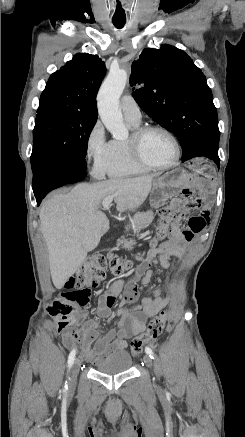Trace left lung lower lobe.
Returning a JSON list of instances; mask_svg holds the SVG:
<instances>
[{
  "mask_svg": "<svg viewBox=\"0 0 245 437\" xmlns=\"http://www.w3.org/2000/svg\"><path fill=\"white\" fill-rule=\"evenodd\" d=\"M210 157H211L210 159L213 160L219 166L220 159L218 157V154H211Z\"/></svg>",
  "mask_w": 245,
  "mask_h": 437,
  "instance_id": "left-lung-lower-lobe-1",
  "label": "left lung lower lobe"
}]
</instances>
